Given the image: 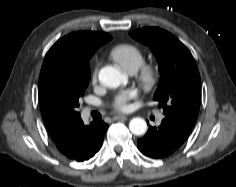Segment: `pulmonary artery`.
<instances>
[{
	"mask_svg": "<svg viewBox=\"0 0 236 187\" xmlns=\"http://www.w3.org/2000/svg\"><path fill=\"white\" fill-rule=\"evenodd\" d=\"M89 113H90V108H86V109L84 110V115H85V117H87ZM162 119H163V115L160 114V115L157 117V123H160V122L162 121Z\"/></svg>",
	"mask_w": 236,
	"mask_h": 187,
	"instance_id": "1",
	"label": "pulmonary artery"
}]
</instances>
